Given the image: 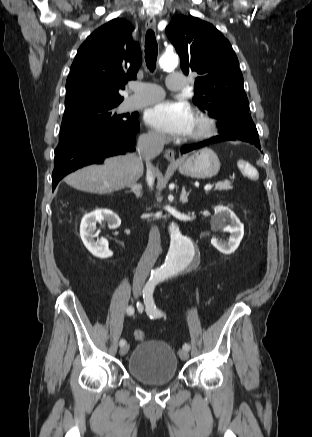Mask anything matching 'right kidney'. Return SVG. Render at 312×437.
Returning <instances> with one entry per match:
<instances>
[{
  "label": "right kidney",
  "instance_id": "obj_1",
  "mask_svg": "<svg viewBox=\"0 0 312 437\" xmlns=\"http://www.w3.org/2000/svg\"><path fill=\"white\" fill-rule=\"evenodd\" d=\"M107 221L110 228H117L121 224L120 218L111 210L98 209L86 214L80 224V236L85 247L98 258H107L111 256L108 248V242L105 239L94 240L96 223Z\"/></svg>",
  "mask_w": 312,
  "mask_h": 437
}]
</instances>
